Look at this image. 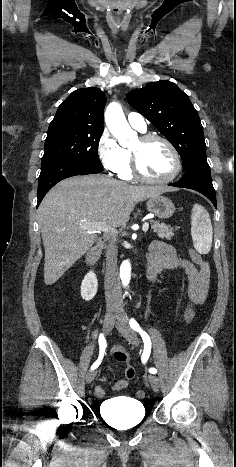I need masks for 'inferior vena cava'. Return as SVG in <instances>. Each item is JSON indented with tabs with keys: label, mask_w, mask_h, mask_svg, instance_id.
I'll return each mask as SVG.
<instances>
[{
	"label": "inferior vena cava",
	"mask_w": 236,
	"mask_h": 467,
	"mask_svg": "<svg viewBox=\"0 0 236 467\" xmlns=\"http://www.w3.org/2000/svg\"><path fill=\"white\" fill-rule=\"evenodd\" d=\"M118 248L115 240H109L106 250L105 297L107 307L122 308L123 298L117 266Z\"/></svg>",
	"instance_id": "602c4592"
}]
</instances>
